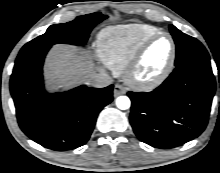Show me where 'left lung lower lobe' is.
Segmentation results:
<instances>
[{
    "instance_id": "0a47b994",
    "label": "left lung lower lobe",
    "mask_w": 220,
    "mask_h": 173,
    "mask_svg": "<svg viewBox=\"0 0 220 173\" xmlns=\"http://www.w3.org/2000/svg\"><path fill=\"white\" fill-rule=\"evenodd\" d=\"M214 93L210 61L176 67L154 91L128 92L130 123L137 137L155 148L183 145L204 131Z\"/></svg>"
}]
</instances>
